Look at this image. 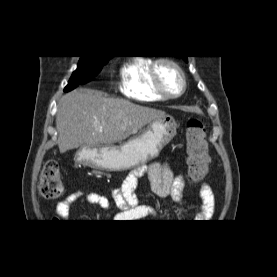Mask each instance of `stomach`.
<instances>
[{
    "label": "stomach",
    "instance_id": "1",
    "mask_svg": "<svg viewBox=\"0 0 277 277\" xmlns=\"http://www.w3.org/2000/svg\"><path fill=\"white\" fill-rule=\"evenodd\" d=\"M176 128L174 118L166 115L151 121L139 135L118 146L83 145L76 152L75 160L101 170H127L156 158L176 135Z\"/></svg>",
    "mask_w": 277,
    "mask_h": 277
}]
</instances>
